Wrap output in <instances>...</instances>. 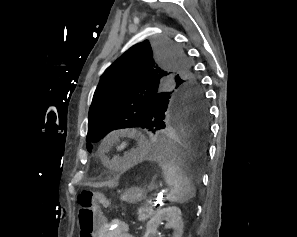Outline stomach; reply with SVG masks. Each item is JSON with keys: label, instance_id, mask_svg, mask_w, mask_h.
Returning a JSON list of instances; mask_svg holds the SVG:
<instances>
[{"label": "stomach", "instance_id": "obj_1", "mask_svg": "<svg viewBox=\"0 0 297 237\" xmlns=\"http://www.w3.org/2000/svg\"><path fill=\"white\" fill-rule=\"evenodd\" d=\"M156 188L154 183L144 187H131L121 195V200L128 203H135L146 199L147 193Z\"/></svg>", "mask_w": 297, "mask_h": 237}]
</instances>
